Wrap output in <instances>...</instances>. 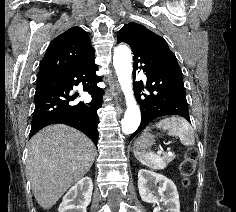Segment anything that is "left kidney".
Masks as SVG:
<instances>
[{
  "instance_id": "1",
  "label": "left kidney",
  "mask_w": 236,
  "mask_h": 212,
  "mask_svg": "<svg viewBox=\"0 0 236 212\" xmlns=\"http://www.w3.org/2000/svg\"><path fill=\"white\" fill-rule=\"evenodd\" d=\"M158 184V193L163 196L166 194V198L163 199L164 205L167 208V212H180L179 194L173 181L165 177L164 175L141 169L138 172V189L141 199L147 203H153L157 206L153 212H159V200L154 195L155 188Z\"/></svg>"
}]
</instances>
